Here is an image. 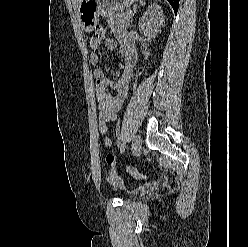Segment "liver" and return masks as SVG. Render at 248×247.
Returning <instances> with one entry per match:
<instances>
[{
    "mask_svg": "<svg viewBox=\"0 0 248 247\" xmlns=\"http://www.w3.org/2000/svg\"><path fill=\"white\" fill-rule=\"evenodd\" d=\"M82 0H73L74 2V9L77 10L78 5L81 3Z\"/></svg>",
    "mask_w": 248,
    "mask_h": 247,
    "instance_id": "obj_1",
    "label": "liver"
}]
</instances>
